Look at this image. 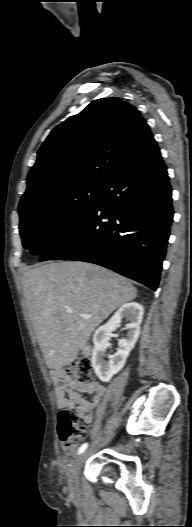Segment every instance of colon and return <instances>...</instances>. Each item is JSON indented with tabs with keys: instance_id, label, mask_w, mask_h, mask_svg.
I'll list each match as a JSON object with an SVG mask.
<instances>
[{
	"instance_id": "5ec220e1",
	"label": "colon",
	"mask_w": 192,
	"mask_h": 527,
	"mask_svg": "<svg viewBox=\"0 0 192 527\" xmlns=\"http://www.w3.org/2000/svg\"><path fill=\"white\" fill-rule=\"evenodd\" d=\"M68 375L80 383H89L91 380V361L88 358L75 360L68 367ZM86 428L82 426L76 414L70 407H62L58 414V435L64 448L72 452L77 444L86 436Z\"/></svg>"
}]
</instances>
